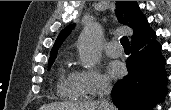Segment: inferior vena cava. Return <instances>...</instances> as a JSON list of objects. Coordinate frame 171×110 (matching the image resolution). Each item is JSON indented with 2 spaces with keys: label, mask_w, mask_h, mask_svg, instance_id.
I'll list each match as a JSON object with an SVG mask.
<instances>
[{
  "label": "inferior vena cava",
  "mask_w": 171,
  "mask_h": 110,
  "mask_svg": "<svg viewBox=\"0 0 171 110\" xmlns=\"http://www.w3.org/2000/svg\"><path fill=\"white\" fill-rule=\"evenodd\" d=\"M111 86L108 82H102L99 87V96H100V107L102 110H110V104L107 100L108 95L110 94Z\"/></svg>",
  "instance_id": "1"
}]
</instances>
